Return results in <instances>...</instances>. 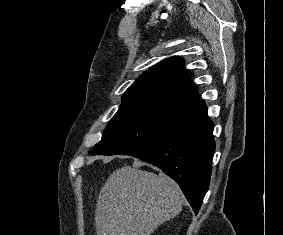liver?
<instances>
[{"mask_svg": "<svg viewBox=\"0 0 283 235\" xmlns=\"http://www.w3.org/2000/svg\"><path fill=\"white\" fill-rule=\"evenodd\" d=\"M124 166L114 171L98 196L97 235H150L182 210L177 183L165 174Z\"/></svg>", "mask_w": 283, "mask_h": 235, "instance_id": "liver-1", "label": "liver"}]
</instances>
